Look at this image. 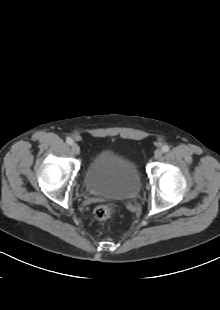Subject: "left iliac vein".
<instances>
[{"label": "left iliac vein", "instance_id": "left-iliac-vein-1", "mask_svg": "<svg viewBox=\"0 0 220 310\" xmlns=\"http://www.w3.org/2000/svg\"><path fill=\"white\" fill-rule=\"evenodd\" d=\"M162 155H163L162 150L158 149L154 153V159L159 160L162 157Z\"/></svg>", "mask_w": 220, "mask_h": 310}]
</instances>
